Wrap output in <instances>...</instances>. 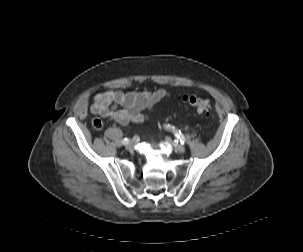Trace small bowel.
I'll use <instances>...</instances> for the list:
<instances>
[{"label":"small bowel","instance_id":"1","mask_svg":"<svg viewBox=\"0 0 303 252\" xmlns=\"http://www.w3.org/2000/svg\"><path fill=\"white\" fill-rule=\"evenodd\" d=\"M169 97L170 93L164 88L127 93L119 89L107 90L95 95L91 110L122 125L140 123L146 120L144 110H152L158 102Z\"/></svg>","mask_w":303,"mask_h":252}]
</instances>
